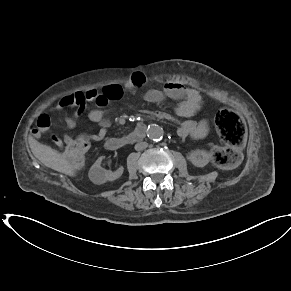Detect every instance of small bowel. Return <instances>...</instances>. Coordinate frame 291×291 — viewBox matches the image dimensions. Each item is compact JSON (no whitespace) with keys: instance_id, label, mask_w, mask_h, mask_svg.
<instances>
[{"instance_id":"c3829d8e","label":"small bowel","mask_w":291,"mask_h":291,"mask_svg":"<svg viewBox=\"0 0 291 291\" xmlns=\"http://www.w3.org/2000/svg\"><path fill=\"white\" fill-rule=\"evenodd\" d=\"M147 82L146 75L141 71L132 73L124 83H109L103 87H91L83 91L76 92L74 96V104L76 106L72 118L67 120L69 126H74L75 119L84 113L87 103L94 102L98 108L91 110L88 118L99 125V130L96 133L89 135L88 141H102L107 136V131L110 126V121L105 117V107L110 101H116L123 97L125 92H135ZM166 97L172 99H183L176 108V114L183 118L180 122L178 135L181 137L203 138L209 130V123L206 119L195 121L191 117L197 112L201 105V96L195 89L185 87L184 85L172 81L165 85L164 90L150 89L144 94V99L150 103H160ZM68 107V106H67ZM65 108L60 106L59 102L55 109ZM139 114L143 118L149 120H164L170 119V115L165 111H150L142 108ZM51 121L48 114H41L37 120V127L32 130L34 139L40 138L41 134L47 132L50 128ZM73 137L68 134L63 135V141L68 145ZM55 144L62 147V140L54 137Z\"/></svg>"}]
</instances>
